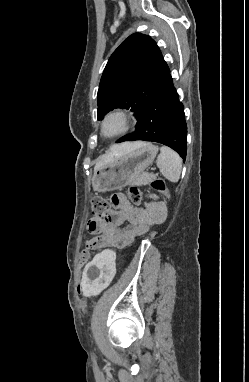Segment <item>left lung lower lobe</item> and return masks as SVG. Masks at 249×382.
Returning a JSON list of instances; mask_svg holds the SVG:
<instances>
[{
	"label": "left lung lower lobe",
	"mask_w": 249,
	"mask_h": 382,
	"mask_svg": "<svg viewBox=\"0 0 249 382\" xmlns=\"http://www.w3.org/2000/svg\"><path fill=\"white\" fill-rule=\"evenodd\" d=\"M186 136L183 105L169 72L138 120L135 132L120 138L117 143L135 140L158 142L174 149L185 160Z\"/></svg>",
	"instance_id": "1"
}]
</instances>
